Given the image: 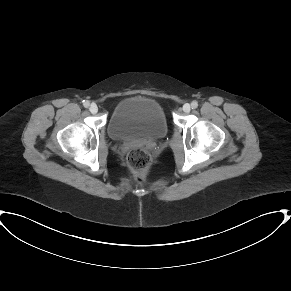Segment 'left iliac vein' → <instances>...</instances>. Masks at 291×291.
<instances>
[{
  "mask_svg": "<svg viewBox=\"0 0 291 291\" xmlns=\"http://www.w3.org/2000/svg\"><path fill=\"white\" fill-rule=\"evenodd\" d=\"M190 110H191V106H190V104L185 103V104L183 105V111H184L185 113H188V112H190Z\"/></svg>",
  "mask_w": 291,
  "mask_h": 291,
  "instance_id": "4c4485c4",
  "label": "left iliac vein"
}]
</instances>
